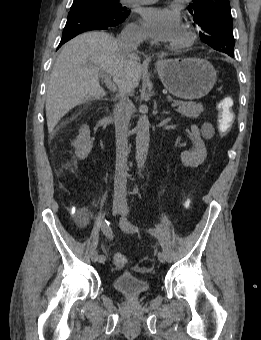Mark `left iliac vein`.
I'll return each mask as SVG.
<instances>
[{"label": "left iliac vein", "mask_w": 261, "mask_h": 340, "mask_svg": "<svg viewBox=\"0 0 261 340\" xmlns=\"http://www.w3.org/2000/svg\"><path fill=\"white\" fill-rule=\"evenodd\" d=\"M127 214H128L127 208L122 209V211H121L122 219H121V221H120V226H121V228H122L123 230H125V231H127V230H126L125 227H124V222H125V220H126ZM158 259H159V261H160L161 263H165V262L167 261L165 255H164L163 252H161V251L158 253Z\"/></svg>", "instance_id": "obj_1"}]
</instances>
